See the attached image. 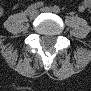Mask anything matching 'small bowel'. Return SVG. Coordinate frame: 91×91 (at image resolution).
<instances>
[{
  "mask_svg": "<svg viewBox=\"0 0 91 91\" xmlns=\"http://www.w3.org/2000/svg\"><path fill=\"white\" fill-rule=\"evenodd\" d=\"M90 7V2L85 0L79 5V10L80 11H85Z\"/></svg>",
  "mask_w": 91,
  "mask_h": 91,
  "instance_id": "obj_1",
  "label": "small bowel"
}]
</instances>
